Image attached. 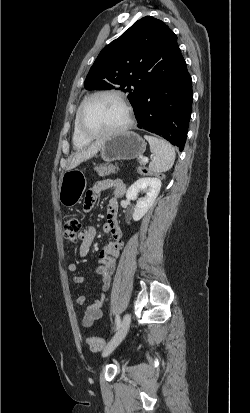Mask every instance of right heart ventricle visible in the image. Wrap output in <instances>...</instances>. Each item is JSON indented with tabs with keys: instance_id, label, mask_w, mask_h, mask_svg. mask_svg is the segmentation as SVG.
Segmentation results:
<instances>
[{
	"instance_id": "obj_1",
	"label": "right heart ventricle",
	"mask_w": 250,
	"mask_h": 413,
	"mask_svg": "<svg viewBox=\"0 0 250 413\" xmlns=\"http://www.w3.org/2000/svg\"><path fill=\"white\" fill-rule=\"evenodd\" d=\"M84 100L81 101V103L79 104L76 113H75V117H74V122H73V135H72V141H73V145L75 148L77 149H81L84 148L85 146H87L90 143V139L85 138L79 131L78 129V113L80 110V107L82 105Z\"/></svg>"
}]
</instances>
